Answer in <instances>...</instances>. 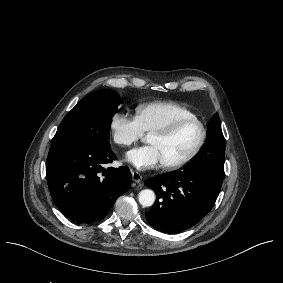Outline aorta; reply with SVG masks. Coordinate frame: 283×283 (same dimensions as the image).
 I'll use <instances>...</instances> for the list:
<instances>
[{"instance_id":"1","label":"aorta","mask_w":283,"mask_h":283,"mask_svg":"<svg viewBox=\"0 0 283 283\" xmlns=\"http://www.w3.org/2000/svg\"><path fill=\"white\" fill-rule=\"evenodd\" d=\"M155 199V193L151 189H144L138 194L139 203L144 207L152 206L155 202Z\"/></svg>"}]
</instances>
